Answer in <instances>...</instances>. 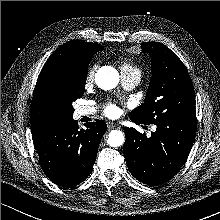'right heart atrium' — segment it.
I'll list each match as a JSON object with an SVG mask.
<instances>
[{
  "mask_svg": "<svg viewBox=\"0 0 220 220\" xmlns=\"http://www.w3.org/2000/svg\"><path fill=\"white\" fill-rule=\"evenodd\" d=\"M96 71V66H92L88 71L85 76V83L86 85L91 84L94 80V74Z\"/></svg>",
  "mask_w": 220,
  "mask_h": 220,
  "instance_id": "obj_1",
  "label": "right heart atrium"
}]
</instances>
